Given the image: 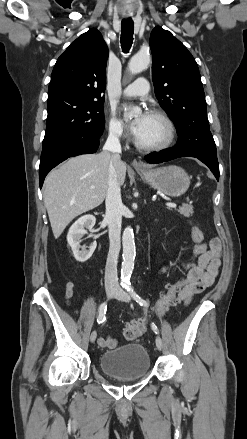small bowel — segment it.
I'll list each match as a JSON object with an SVG mask.
<instances>
[{"label":"small bowel","instance_id":"c3829d8e","mask_svg":"<svg viewBox=\"0 0 247 439\" xmlns=\"http://www.w3.org/2000/svg\"><path fill=\"white\" fill-rule=\"evenodd\" d=\"M222 244L220 239L213 238L210 242L194 245L191 261L182 262L181 269L185 273L180 277L183 288L177 294V301L188 303L195 295L211 286L221 267ZM74 285L68 282L65 286V298L70 300L73 296ZM101 347L113 348L117 340L104 337L98 340Z\"/></svg>","mask_w":247,"mask_h":439}]
</instances>
